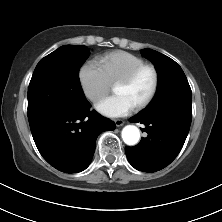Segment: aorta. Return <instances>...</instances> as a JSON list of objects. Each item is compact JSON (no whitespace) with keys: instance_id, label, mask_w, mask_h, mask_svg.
Instances as JSON below:
<instances>
[{"instance_id":"obj_1","label":"aorta","mask_w":222,"mask_h":222,"mask_svg":"<svg viewBox=\"0 0 222 222\" xmlns=\"http://www.w3.org/2000/svg\"><path fill=\"white\" fill-rule=\"evenodd\" d=\"M122 139L129 146L136 145L140 139L139 129L134 125L125 126L122 130Z\"/></svg>"}]
</instances>
